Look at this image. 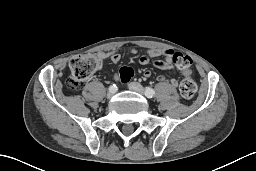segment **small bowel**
Returning <instances> with one entry per match:
<instances>
[{
	"label": "small bowel",
	"mask_w": 256,
	"mask_h": 171,
	"mask_svg": "<svg viewBox=\"0 0 256 171\" xmlns=\"http://www.w3.org/2000/svg\"><path fill=\"white\" fill-rule=\"evenodd\" d=\"M131 52L136 54L138 52L137 49L133 48L131 49ZM177 54H180L179 52H176L171 49H151L146 54H143L139 58V64L140 65H148L149 63H153L156 67L165 69L169 71L171 74H174L176 71V63H175V56ZM97 56L99 59L106 60L110 59L113 63H118L121 59V55L117 52H98ZM160 58H164V60H161ZM150 72L146 71L145 76H150ZM158 80L162 81L165 79V76L161 75L158 76ZM172 84H176V81L174 79L171 80Z\"/></svg>",
	"instance_id": "small-bowel-1"
}]
</instances>
